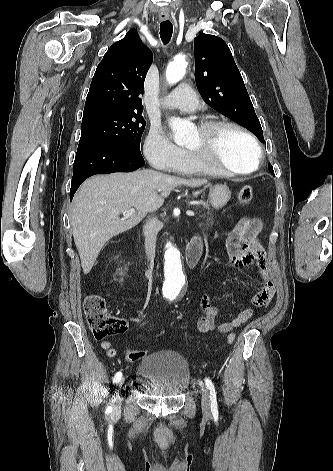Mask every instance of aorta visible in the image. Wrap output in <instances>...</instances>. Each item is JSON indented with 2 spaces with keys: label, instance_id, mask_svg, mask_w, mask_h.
<instances>
[{
  "label": "aorta",
  "instance_id": "aorta-1",
  "mask_svg": "<svg viewBox=\"0 0 333 471\" xmlns=\"http://www.w3.org/2000/svg\"><path fill=\"white\" fill-rule=\"evenodd\" d=\"M187 61L185 56L178 55L166 69V79L169 84H176L186 73ZM170 125L174 133V141L181 144L187 140L192 124L186 120L173 117ZM165 282L163 294L166 297L180 296L184 292L185 277L179 250L170 242L166 244L165 253Z\"/></svg>",
  "mask_w": 333,
  "mask_h": 471
}]
</instances>
